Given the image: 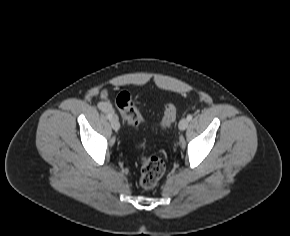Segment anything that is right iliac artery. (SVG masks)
I'll return each mask as SVG.
<instances>
[{
    "label": "right iliac artery",
    "mask_w": 290,
    "mask_h": 236,
    "mask_svg": "<svg viewBox=\"0 0 290 236\" xmlns=\"http://www.w3.org/2000/svg\"><path fill=\"white\" fill-rule=\"evenodd\" d=\"M107 117H108V119L111 120V119L113 118V114H112V113H108V114H107Z\"/></svg>",
    "instance_id": "obj_1"
}]
</instances>
